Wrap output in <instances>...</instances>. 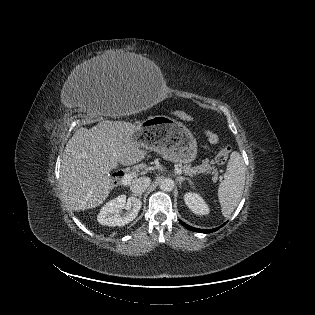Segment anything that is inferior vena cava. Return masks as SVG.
I'll use <instances>...</instances> for the list:
<instances>
[{
  "label": "inferior vena cava",
  "instance_id": "inferior-vena-cava-1",
  "mask_svg": "<svg viewBox=\"0 0 315 315\" xmlns=\"http://www.w3.org/2000/svg\"><path fill=\"white\" fill-rule=\"evenodd\" d=\"M151 184V180L148 177H139L133 180L130 190L134 194L143 193Z\"/></svg>",
  "mask_w": 315,
  "mask_h": 315
}]
</instances>
